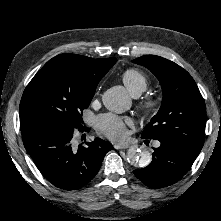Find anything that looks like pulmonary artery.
Instances as JSON below:
<instances>
[{
  "mask_svg": "<svg viewBox=\"0 0 221 221\" xmlns=\"http://www.w3.org/2000/svg\"><path fill=\"white\" fill-rule=\"evenodd\" d=\"M139 96V94H133V97H138ZM154 146L155 147H159L160 146V142L159 141H156L155 143H154Z\"/></svg>",
  "mask_w": 221,
  "mask_h": 221,
  "instance_id": "1",
  "label": "pulmonary artery"
}]
</instances>
